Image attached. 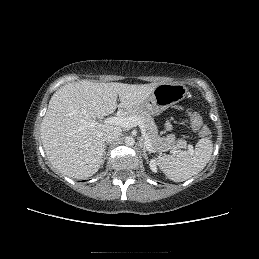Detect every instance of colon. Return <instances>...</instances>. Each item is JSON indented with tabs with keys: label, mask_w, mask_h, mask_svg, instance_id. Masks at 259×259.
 I'll use <instances>...</instances> for the list:
<instances>
[{
	"label": "colon",
	"mask_w": 259,
	"mask_h": 259,
	"mask_svg": "<svg viewBox=\"0 0 259 259\" xmlns=\"http://www.w3.org/2000/svg\"><path fill=\"white\" fill-rule=\"evenodd\" d=\"M190 123L195 131H197L202 137L209 136V130L204 125L201 116L197 113H189Z\"/></svg>",
	"instance_id": "obj_1"
}]
</instances>
